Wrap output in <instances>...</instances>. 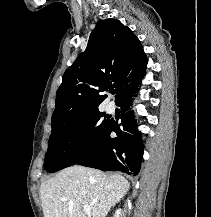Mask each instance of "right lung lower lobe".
I'll return each instance as SVG.
<instances>
[{
	"instance_id": "right-lung-lower-lobe-1",
	"label": "right lung lower lobe",
	"mask_w": 211,
	"mask_h": 217,
	"mask_svg": "<svg viewBox=\"0 0 211 217\" xmlns=\"http://www.w3.org/2000/svg\"><path fill=\"white\" fill-rule=\"evenodd\" d=\"M138 75L129 87L116 100L121 107V124L110 120L105 135L100 144L83 160L77 164L86 167L100 169L102 171H121L129 175H137L140 170L143 154V144L140 133L137 130V123L133 113L128 111L131 104V97L137 92L141 83V76ZM111 132L117 137L112 138Z\"/></svg>"
}]
</instances>
